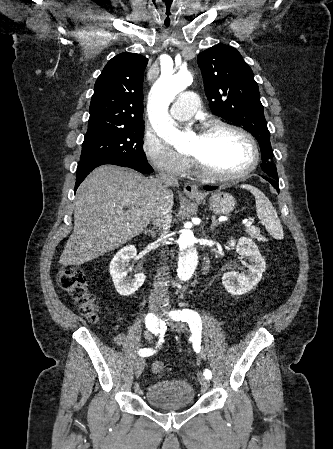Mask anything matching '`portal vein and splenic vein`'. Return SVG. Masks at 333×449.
<instances>
[{"instance_id":"portal-vein-and-splenic-vein-1","label":"portal vein and splenic vein","mask_w":333,"mask_h":449,"mask_svg":"<svg viewBox=\"0 0 333 449\" xmlns=\"http://www.w3.org/2000/svg\"><path fill=\"white\" fill-rule=\"evenodd\" d=\"M251 224H252V223L249 222V221H246V222H245V226H246V227H251Z\"/></svg>"}]
</instances>
